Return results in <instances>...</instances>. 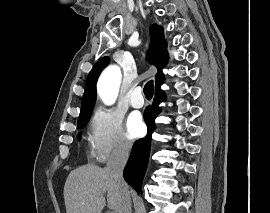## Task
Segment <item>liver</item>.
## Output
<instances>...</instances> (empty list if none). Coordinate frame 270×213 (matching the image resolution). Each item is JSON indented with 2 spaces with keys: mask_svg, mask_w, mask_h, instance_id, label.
Here are the masks:
<instances>
[{
  "mask_svg": "<svg viewBox=\"0 0 270 213\" xmlns=\"http://www.w3.org/2000/svg\"><path fill=\"white\" fill-rule=\"evenodd\" d=\"M115 213L121 208V193L117 181L106 170L93 164L72 170L64 185L67 213H101L106 204Z\"/></svg>",
  "mask_w": 270,
  "mask_h": 213,
  "instance_id": "1",
  "label": "liver"
}]
</instances>
